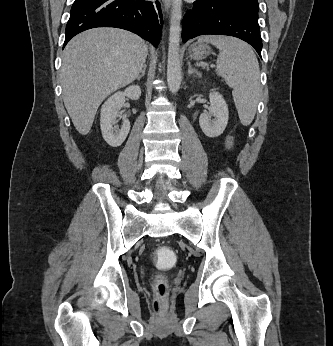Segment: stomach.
<instances>
[{
  "label": "stomach",
  "instance_id": "stomach-1",
  "mask_svg": "<svg viewBox=\"0 0 333 346\" xmlns=\"http://www.w3.org/2000/svg\"><path fill=\"white\" fill-rule=\"evenodd\" d=\"M212 53L211 47L205 43H193L188 48V54L191 59L202 60Z\"/></svg>",
  "mask_w": 333,
  "mask_h": 346
}]
</instances>
